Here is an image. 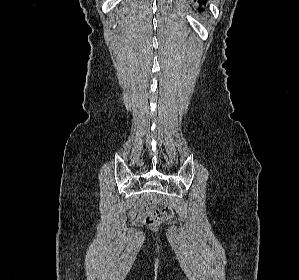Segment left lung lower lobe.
<instances>
[{
	"label": "left lung lower lobe",
	"instance_id": "obj_1",
	"mask_svg": "<svg viewBox=\"0 0 299 280\" xmlns=\"http://www.w3.org/2000/svg\"><path fill=\"white\" fill-rule=\"evenodd\" d=\"M194 1H196V0H194ZM204 3V5H206V3H207V0H200L199 1V11H202L203 9L201 8V6H202V4Z\"/></svg>",
	"mask_w": 299,
	"mask_h": 280
}]
</instances>
